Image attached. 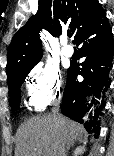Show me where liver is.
<instances>
[{
	"label": "liver",
	"mask_w": 114,
	"mask_h": 156,
	"mask_svg": "<svg viewBox=\"0 0 114 156\" xmlns=\"http://www.w3.org/2000/svg\"><path fill=\"white\" fill-rule=\"evenodd\" d=\"M84 132L81 125L61 115L32 117L17 132L15 156H58L63 146L68 147Z\"/></svg>",
	"instance_id": "obj_1"
}]
</instances>
